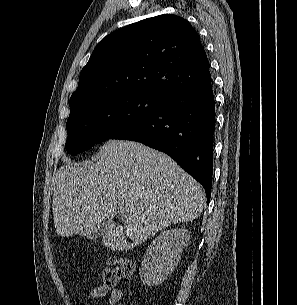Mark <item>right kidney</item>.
I'll list each match as a JSON object with an SVG mask.
<instances>
[{
    "mask_svg": "<svg viewBox=\"0 0 297 305\" xmlns=\"http://www.w3.org/2000/svg\"><path fill=\"white\" fill-rule=\"evenodd\" d=\"M190 239L185 229L162 232L144 254L139 271L146 286H157L167 279L180 261L182 251Z\"/></svg>",
    "mask_w": 297,
    "mask_h": 305,
    "instance_id": "ca27d5eb",
    "label": "right kidney"
}]
</instances>
